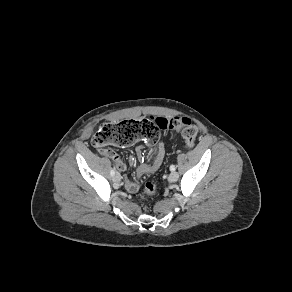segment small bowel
<instances>
[{
	"label": "small bowel",
	"mask_w": 292,
	"mask_h": 292,
	"mask_svg": "<svg viewBox=\"0 0 292 292\" xmlns=\"http://www.w3.org/2000/svg\"><path fill=\"white\" fill-rule=\"evenodd\" d=\"M146 145L151 148V156L147 163H143L136 168V175L142 176L145 174H150L155 172L161 165L163 158H164V145L162 142H149L146 141ZM100 153L104 156L109 157L113 160L115 166L122 172L127 170V164L111 149H101ZM136 158L135 156L131 155L129 157V163L131 165L135 164ZM124 186L126 190L130 193H135L139 189L138 183L131 181L127 178L124 179Z\"/></svg>",
	"instance_id": "1"
}]
</instances>
